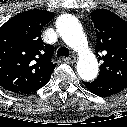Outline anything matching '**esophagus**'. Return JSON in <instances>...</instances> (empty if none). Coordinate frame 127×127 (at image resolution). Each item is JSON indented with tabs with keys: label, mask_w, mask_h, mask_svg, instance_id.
<instances>
[{
	"label": "esophagus",
	"mask_w": 127,
	"mask_h": 127,
	"mask_svg": "<svg viewBox=\"0 0 127 127\" xmlns=\"http://www.w3.org/2000/svg\"><path fill=\"white\" fill-rule=\"evenodd\" d=\"M63 61L64 62H67V63H73L76 61V57L74 55L68 57V58H63Z\"/></svg>",
	"instance_id": "esophagus-1"
}]
</instances>
